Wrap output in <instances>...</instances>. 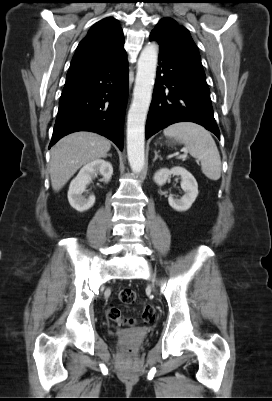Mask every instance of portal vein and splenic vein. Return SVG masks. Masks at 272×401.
<instances>
[{
	"label": "portal vein and splenic vein",
	"mask_w": 272,
	"mask_h": 401,
	"mask_svg": "<svg viewBox=\"0 0 272 401\" xmlns=\"http://www.w3.org/2000/svg\"><path fill=\"white\" fill-rule=\"evenodd\" d=\"M187 154L184 153L183 155L180 156V158H186Z\"/></svg>",
	"instance_id": "1"
}]
</instances>
